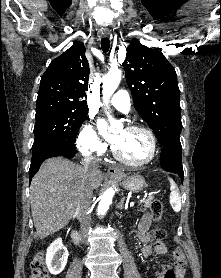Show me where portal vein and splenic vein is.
<instances>
[{"label": "portal vein and splenic vein", "mask_w": 221, "mask_h": 278, "mask_svg": "<svg viewBox=\"0 0 221 278\" xmlns=\"http://www.w3.org/2000/svg\"><path fill=\"white\" fill-rule=\"evenodd\" d=\"M141 202H143V200L138 201V203L140 204ZM135 205V202L130 203V207H133Z\"/></svg>", "instance_id": "18ae733b"}]
</instances>
